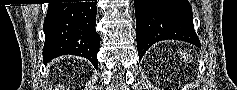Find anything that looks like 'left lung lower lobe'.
I'll return each instance as SVG.
<instances>
[{
	"mask_svg": "<svg viewBox=\"0 0 237 90\" xmlns=\"http://www.w3.org/2000/svg\"><path fill=\"white\" fill-rule=\"evenodd\" d=\"M139 61L154 43L175 39L201 47L188 0H134Z\"/></svg>",
	"mask_w": 237,
	"mask_h": 90,
	"instance_id": "left-lung-lower-lobe-1",
	"label": "left lung lower lobe"
}]
</instances>
